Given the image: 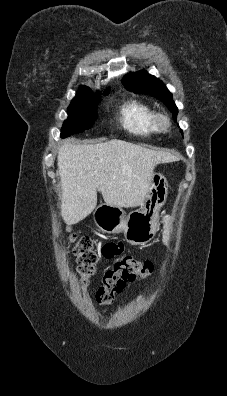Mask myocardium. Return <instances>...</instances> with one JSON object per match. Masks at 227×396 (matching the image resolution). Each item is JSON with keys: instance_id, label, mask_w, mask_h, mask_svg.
I'll return each instance as SVG.
<instances>
[{"instance_id": "1", "label": "myocardium", "mask_w": 227, "mask_h": 396, "mask_svg": "<svg viewBox=\"0 0 227 396\" xmlns=\"http://www.w3.org/2000/svg\"><path fill=\"white\" fill-rule=\"evenodd\" d=\"M155 124L161 132H169L172 127L171 118L166 112H157L155 114Z\"/></svg>"}]
</instances>
